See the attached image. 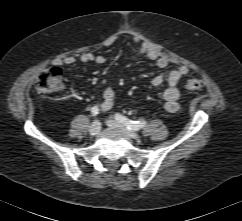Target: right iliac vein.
Returning a JSON list of instances; mask_svg holds the SVG:
<instances>
[{
    "label": "right iliac vein",
    "mask_w": 242,
    "mask_h": 221,
    "mask_svg": "<svg viewBox=\"0 0 242 221\" xmlns=\"http://www.w3.org/2000/svg\"><path fill=\"white\" fill-rule=\"evenodd\" d=\"M100 129H101L100 123L99 121L96 120L91 124L89 128V133L90 135L95 136L100 132Z\"/></svg>",
    "instance_id": "right-iliac-vein-1"
}]
</instances>
